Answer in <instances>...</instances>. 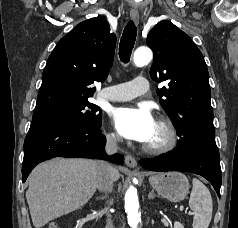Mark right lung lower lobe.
Returning <instances> with one entry per match:
<instances>
[{
    "label": "right lung lower lobe",
    "instance_id": "98d812e1",
    "mask_svg": "<svg viewBox=\"0 0 238 228\" xmlns=\"http://www.w3.org/2000/svg\"><path fill=\"white\" fill-rule=\"evenodd\" d=\"M98 125H86L69 121H32L24 141L22 181L40 162L53 157L100 158L123 164V156L107 157L104 153L105 136Z\"/></svg>",
    "mask_w": 238,
    "mask_h": 228
}]
</instances>
